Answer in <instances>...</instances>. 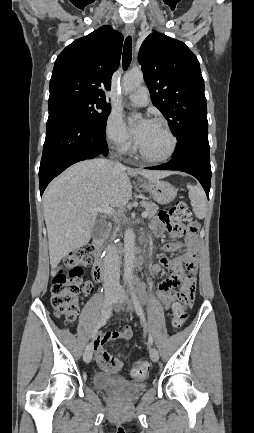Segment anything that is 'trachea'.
<instances>
[{
	"label": "trachea",
	"instance_id": "trachea-1",
	"mask_svg": "<svg viewBox=\"0 0 254 433\" xmlns=\"http://www.w3.org/2000/svg\"><path fill=\"white\" fill-rule=\"evenodd\" d=\"M132 59V39L131 37H127L123 47V55H122V66L123 69H127L131 63Z\"/></svg>",
	"mask_w": 254,
	"mask_h": 433
}]
</instances>
